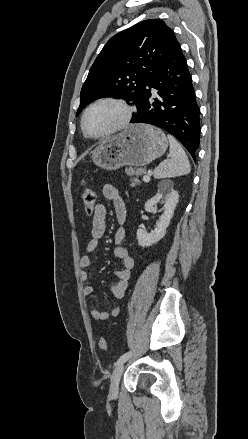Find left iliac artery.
Instances as JSON below:
<instances>
[{
	"instance_id": "left-iliac-artery-1",
	"label": "left iliac artery",
	"mask_w": 248,
	"mask_h": 439,
	"mask_svg": "<svg viewBox=\"0 0 248 439\" xmlns=\"http://www.w3.org/2000/svg\"><path fill=\"white\" fill-rule=\"evenodd\" d=\"M131 355H132V352H131V351L124 353L122 356L119 357V359L117 360V362L115 363V365H116V364H119V363H121V362H125V361H127V360L130 358Z\"/></svg>"
}]
</instances>
